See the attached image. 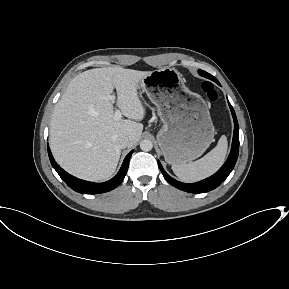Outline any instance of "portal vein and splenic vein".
<instances>
[{"label": "portal vein and splenic vein", "mask_w": 289, "mask_h": 289, "mask_svg": "<svg viewBox=\"0 0 289 289\" xmlns=\"http://www.w3.org/2000/svg\"><path fill=\"white\" fill-rule=\"evenodd\" d=\"M110 99H111L112 101H114V100H115V96H111ZM121 117H122V114H121L120 110L117 109V110L115 111V113H114V118H115L116 120H120Z\"/></svg>", "instance_id": "1"}]
</instances>
